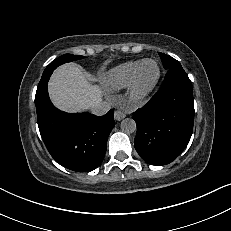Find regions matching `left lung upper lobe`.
<instances>
[{
    "label": "left lung upper lobe",
    "instance_id": "left-lung-upper-lobe-1",
    "mask_svg": "<svg viewBox=\"0 0 231 231\" xmlns=\"http://www.w3.org/2000/svg\"><path fill=\"white\" fill-rule=\"evenodd\" d=\"M159 55L162 59L163 66L166 70H168L174 66H180L181 65L176 59H174V58H172L166 54L159 52Z\"/></svg>",
    "mask_w": 231,
    "mask_h": 231
}]
</instances>
